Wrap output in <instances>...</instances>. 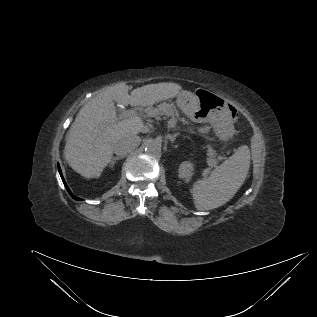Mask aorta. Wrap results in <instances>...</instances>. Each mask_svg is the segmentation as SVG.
<instances>
[{
    "mask_svg": "<svg viewBox=\"0 0 317 317\" xmlns=\"http://www.w3.org/2000/svg\"><path fill=\"white\" fill-rule=\"evenodd\" d=\"M161 143L157 140L149 139L145 142L144 148L145 152L154 157H158L161 154Z\"/></svg>",
    "mask_w": 317,
    "mask_h": 317,
    "instance_id": "1",
    "label": "aorta"
}]
</instances>
